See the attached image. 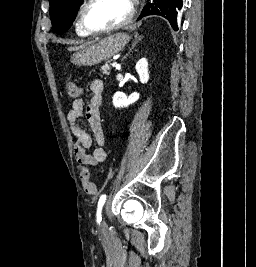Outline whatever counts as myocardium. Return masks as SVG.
Instances as JSON below:
<instances>
[{"label":"myocardium","mask_w":256,"mask_h":267,"mask_svg":"<svg viewBox=\"0 0 256 267\" xmlns=\"http://www.w3.org/2000/svg\"><path fill=\"white\" fill-rule=\"evenodd\" d=\"M95 1L97 0H89L85 10L81 13V16H80L81 25L87 33H90L93 35L107 34V33H111L113 31L122 29L132 22L134 14H135V8L132 5V3H130L129 0H115L127 6L129 10L127 19L124 21L118 22L112 26L102 28V29L93 27L87 20L86 12H87L88 7Z\"/></svg>","instance_id":"myocardium-1"}]
</instances>
